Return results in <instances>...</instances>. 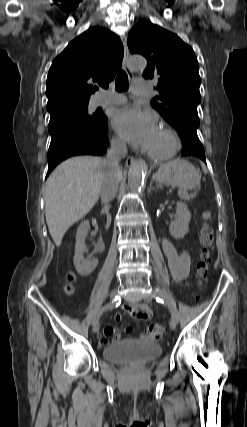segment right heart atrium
<instances>
[{
    "label": "right heart atrium",
    "mask_w": 247,
    "mask_h": 427,
    "mask_svg": "<svg viewBox=\"0 0 247 427\" xmlns=\"http://www.w3.org/2000/svg\"><path fill=\"white\" fill-rule=\"evenodd\" d=\"M111 144L116 150H122L124 148L123 141L116 137L111 140Z\"/></svg>",
    "instance_id": "1"
}]
</instances>
